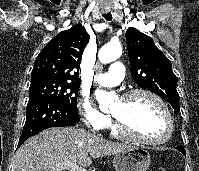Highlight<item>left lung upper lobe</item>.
<instances>
[{"label":"left lung upper lobe","mask_w":199,"mask_h":171,"mask_svg":"<svg viewBox=\"0 0 199 171\" xmlns=\"http://www.w3.org/2000/svg\"><path fill=\"white\" fill-rule=\"evenodd\" d=\"M126 43L135 83L169 102L177 114L180 110V97L170 60L150 37L133 27L126 31Z\"/></svg>","instance_id":"left-lung-upper-lobe-1"}]
</instances>
